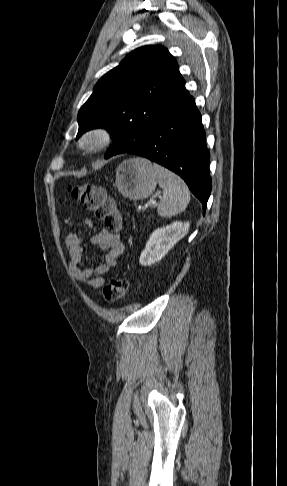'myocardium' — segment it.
Segmentation results:
<instances>
[{
	"mask_svg": "<svg viewBox=\"0 0 287 486\" xmlns=\"http://www.w3.org/2000/svg\"><path fill=\"white\" fill-rule=\"evenodd\" d=\"M113 140L109 129L97 126L89 129L78 140V147L87 153H97L108 147Z\"/></svg>",
	"mask_w": 287,
	"mask_h": 486,
	"instance_id": "obj_1",
	"label": "myocardium"
}]
</instances>
